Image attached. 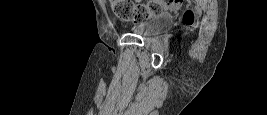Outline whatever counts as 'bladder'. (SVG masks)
Segmentation results:
<instances>
[{"mask_svg": "<svg viewBox=\"0 0 267 115\" xmlns=\"http://www.w3.org/2000/svg\"><path fill=\"white\" fill-rule=\"evenodd\" d=\"M173 25V16L168 13L154 15L129 28V32L142 37H153L168 30Z\"/></svg>", "mask_w": 267, "mask_h": 115, "instance_id": "obj_1", "label": "bladder"}]
</instances>
